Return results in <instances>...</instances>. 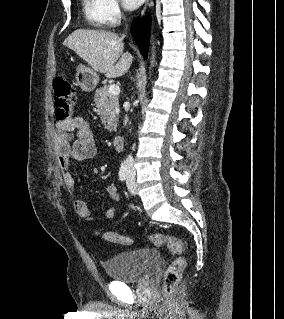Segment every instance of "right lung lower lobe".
<instances>
[{"label":"right lung lower lobe","mask_w":284,"mask_h":319,"mask_svg":"<svg viewBox=\"0 0 284 319\" xmlns=\"http://www.w3.org/2000/svg\"><path fill=\"white\" fill-rule=\"evenodd\" d=\"M151 19L146 17L143 20L136 18L131 26V34L138 44L142 55L146 58L150 39Z\"/></svg>","instance_id":"98d812e1"}]
</instances>
